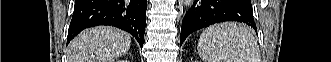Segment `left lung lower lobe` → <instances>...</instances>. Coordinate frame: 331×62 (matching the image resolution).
<instances>
[{
    "label": "left lung lower lobe",
    "mask_w": 331,
    "mask_h": 62,
    "mask_svg": "<svg viewBox=\"0 0 331 62\" xmlns=\"http://www.w3.org/2000/svg\"><path fill=\"white\" fill-rule=\"evenodd\" d=\"M224 21L243 22L256 30L250 0H195L183 19L180 46L192 32Z\"/></svg>",
    "instance_id": "0a47b994"
}]
</instances>
